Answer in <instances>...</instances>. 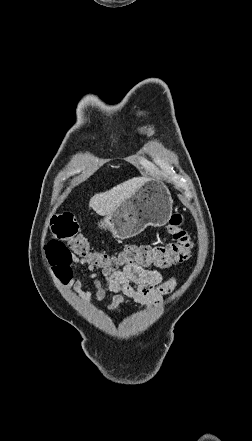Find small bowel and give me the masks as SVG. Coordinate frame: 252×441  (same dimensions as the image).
Masks as SVG:
<instances>
[{
    "mask_svg": "<svg viewBox=\"0 0 252 441\" xmlns=\"http://www.w3.org/2000/svg\"><path fill=\"white\" fill-rule=\"evenodd\" d=\"M77 266H87L90 272L91 290L82 289V281L75 279L73 269ZM95 264L86 258L74 257L69 274L62 279L67 287H72L78 295L90 300L92 297L102 300L107 292L114 293L108 306L111 311H121L126 298L134 302L152 307L159 305L163 297L170 294L176 287V279L164 280L157 270L145 269L141 266H127L117 270L103 268L104 281L94 273Z\"/></svg>",
    "mask_w": 252,
    "mask_h": 441,
    "instance_id": "1",
    "label": "small bowel"
}]
</instances>
